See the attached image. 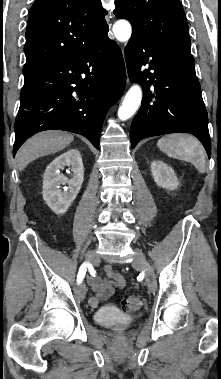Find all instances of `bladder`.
<instances>
[{
	"label": "bladder",
	"mask_w": 221,
	"mask_h": 379,
	"mask_svg": "<svg viewBox=\"0 0 221 379\" xmlns=\"http://www.w3.org/2000/svg\"><path fill=\"white\" fill-rule=\"evenodd\" d=\"M96 323L102 326H127L130 325L135 317L133 315H118L108 309H101L94 314Z\"/></svg>",
	"instance_id": "obj_1"
}]
</instances>
